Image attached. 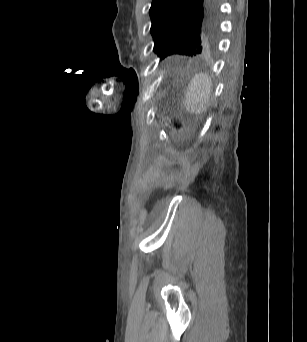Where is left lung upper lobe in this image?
<instances>
[{
    "label": "left lung upper lobe",
    "instance_id": "5c2ea615",
    "mask_svg": "<svg viewBox=\"0 0 307 342\" xmlns=\"http://www.w3.org/2000/svg\"><path fill=\"white\" fill-rule=\"evenodd\" d=\"M212 0H153L150 8L154 52L161 59L197 56L214 43L217 11Z\"/></svg>",
    "mask_w": 307,
    "mask_h": 342
}]
</instances>
